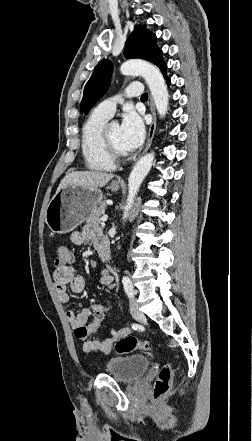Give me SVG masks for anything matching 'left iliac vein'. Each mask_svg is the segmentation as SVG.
Masks as SVG:
<instances>
[{"mask_svg":"<svg viewBox=\"0 0 252 441\" xmlns=\"http://www.w3.org/2000/svg\"><path fill=\"white\" fill-rule=\"evenodd\" d=\"M130 311L135 319H141L144 317L143 313L140 311L139 306L134 298L130 302Z\"/></svg>","mask_w":252,"mask_h":441,"instance_id":"1","label":"left iliac vein"}]
</instances>
